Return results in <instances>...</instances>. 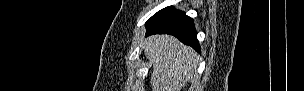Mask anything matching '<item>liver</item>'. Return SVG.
Segmentation results:
<instances>
[{
    "label": "liver",
    "instance_id": "liver-1",
    "mask_svg": "<svg viewBox=\"0 0 304 91\" xmlns=\"http://www.w3.org/2000/svg\"><path fill=\"white\" fill-rule=\"evenodd\" d=\"M153 66L152 91H180L194 74L197 53L170 35H153L143 43Z\"/></svg>",
    "mask_w": 304,
    "mask_h": 91
}]
</instances>
